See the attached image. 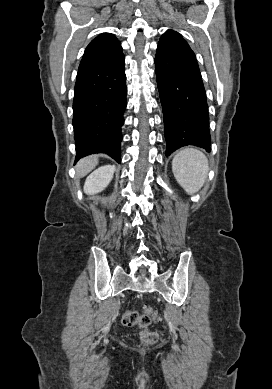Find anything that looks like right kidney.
Segmentation results:
<instances>
[{
  "instance_id": "right-kidney-1",
  "label": "right kidney",
  "mask_w": 272,
  "mask_h": 389,
  "mask_svg": "<svg viewBox=\"0 0 272 389\" xmlns=\"http://www.w3.org/2000/svg\"><path fill=\"white\" fill-rule=\"evenodd\" d=\"M114 172L115 166L105 165L99 167L87 177L84 192L91 195L103 191L111 182Z\"/></svg>"
}]
</instances>
